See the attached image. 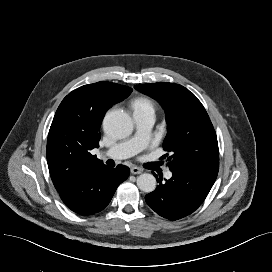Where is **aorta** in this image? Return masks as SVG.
<instances>
[{
    "label": "aorta",
    "mask_w": 272,
    "mask_h": 272,
    "mask_svg": "<svg viewBox=\"0 0 272 272\" xmlns=\"http://www.w3.org/2000/svg\"><path fill=\"white\" fill-rule=\"evenodd\" d=\"M103 129L112 138H126L133 131V121L126 112L113 110L105 115ZM137 186L141 191L151 193L156 188V179L152 174L143 173L137 178Z\"/></svg>",
    "instance_id": "762f6f07"
}]
</instances>
